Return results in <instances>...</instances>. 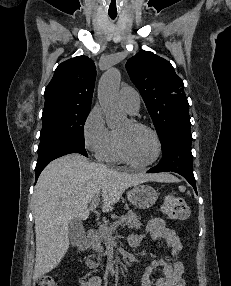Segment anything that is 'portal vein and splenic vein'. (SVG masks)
<instances>
[{"label": "portal vein and splenic vein", "mask_w": 231, "mask_h": 286, "mask_svg": "<svg viewBox=\"0 0 231 286\" xmlns=\"http://www.w3.org/2000/svg\"><path fill=\"white\" fill-rule=\"evenodd\" d=\"M98 204H99V199L98 197H95L91 202V208L97 207ZM121 223L122 221H116L114 225L110 228V233H112L116 229V227H118Z\"/></svg>", "instance_id": "portal-vein-and-splenic-vein-1"}]
</instances>
